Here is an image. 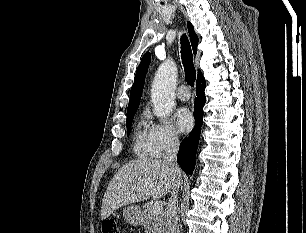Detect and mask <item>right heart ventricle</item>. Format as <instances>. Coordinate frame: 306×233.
Returning a JSON list of instances; mask_svg holds the SVG:
<instances>
[{"label": "right heart ventricle", "mask_w": 306, "mask_h": 233, "mask_svg": "<svg viewBox=\"0 0 306 233\" xmlns=\"http://www.w3.org/2000/svg\"><path fill=\"white\" fill-rule=\"evenodd\" d=\"M149 124L144 116L137 122L133 136V152L138 157L150 155V144L148 137Z\"/></svg>", "instance_id": "e07e8e85"}]
</instances>
